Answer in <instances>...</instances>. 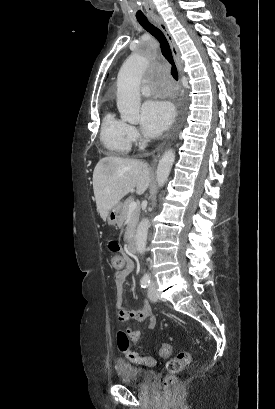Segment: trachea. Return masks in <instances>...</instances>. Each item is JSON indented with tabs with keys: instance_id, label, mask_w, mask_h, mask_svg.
Listing matches in <instances>:
<instances>
[{
	"instance_id": "1",
	"label": "trachea",
	"mask_w": 275,
	"mask_h": 409,
	"mask_svg": "<svg viewBox=\"0 0 275 409\" xmlns=\"http://www.w3.org/2000/svg\"><path fill=\"white\" fill-rule=\"evenodd\" d=\"M138 22L147 32L151 33V35H153V37H155L159 41L161 52L163 56L172 65L171 75L173 78H175V80H178L177 67L174 64L173 55L171 53V48L163 32L159 28H157V26L155 27V25H153L147 19H141V20H138Z\"/></svg>"
}]
</instances>
